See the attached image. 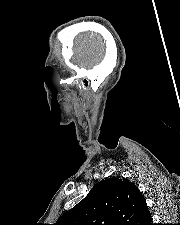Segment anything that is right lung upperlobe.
<instances>
[{
  "label": "right lung upper lobe",
  "instance_id": "1",
  "mask_svg": "<svg viewBox=\"0 0 180 225\" xmlns=\"http://www.w3.org/2000/svg\"><path fill=\"white\" fill-rule=\"evenodd\" d=\"M151 215L136 185L119 178L98 182L55 225H150Z\"/></svg>",
  "mask_w": 180,
  "mask_h": 225
}]
</instances>
